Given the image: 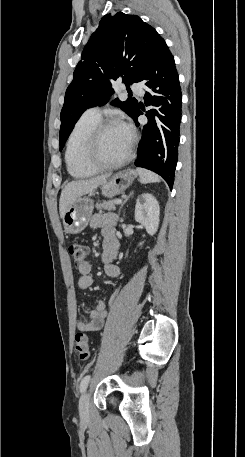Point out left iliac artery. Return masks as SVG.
<instances>
[{
	"label": "left iliac artery",
	"mask_w": 245,
	"mask_h": 457,
	"mask_svg": "<svg viewBox=\"0 0 245 457\" xmlns=\"http://www.w3.org/2000/svg\"><path fill=\"white\" fill-rule=\"evenodd\" d=\"M89 381H90V375L87 374L84 376V378L82 379V381L80 383V392L81 393H83L86 390Z\"/></svg>",
	"instance_id": "1"
}]
</instances>
